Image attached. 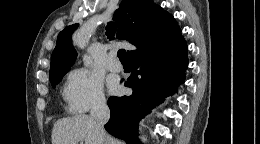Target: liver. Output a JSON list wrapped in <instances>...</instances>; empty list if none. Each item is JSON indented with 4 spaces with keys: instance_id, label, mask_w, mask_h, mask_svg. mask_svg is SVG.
<instances>
[{
    "instance_id": "6515ba94",
    "label": "liver",
    "mask_w": 260,
    "mask_h": 144,
    "mask_svg": "<svg viewBox=\"0 0 260 144\" xmlns=\"http://www.w3.org/2000/svg\"><path fill=\"white\" fill-rule=\"evenodd\" d=\"M51 139L52 144H100L103 134L97 132L91 116L75 115L56 121Z\"/></svg>"
}]
</instances>
